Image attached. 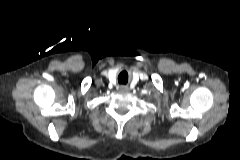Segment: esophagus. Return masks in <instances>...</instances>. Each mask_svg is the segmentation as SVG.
I'll return each instance as SVG.
<instances>
[{"instance_id": "1", "label": "esophagus", "mask_w": 240, "mask_h": 160, "mask_svg": "<svg viewBox=\"0 0 240 160\" xmlns=\"http://www.w3.org/2000/svg\"><path fill=\"white\" fill-rule=\"evenodd\" d=\"M120 90H121V91H127V90H128V87H126V86H120Z\"/></svg>"}]
</instances>
